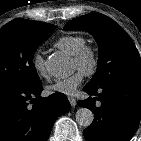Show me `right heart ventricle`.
<instances>
[{"label":"right heart ventricle","instance_id":"1","mask_svg":"<svg viewBox=\"0 0 141 141\" xmlns=\"http://www.w3.org/2000/svg\"><path fill=\"white\" fill-rule=\"evenodd\" d=\"M85 44L86 40L81 35H65L57 40L55 46L70 55H75Z\"/></svg>","mask_w":141,"mask_h":141}]
</instances>
